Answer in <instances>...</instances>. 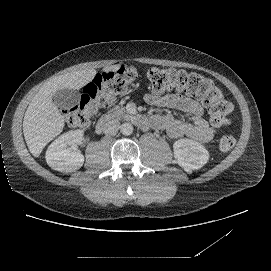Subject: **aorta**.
<instances>
[{"label": "aorta", "instance_id": "1", "mask_svg": "<svg viewBox=\"0 0 271 271\" xmlns=\"http://www.w3.org/2000/svg\"><path fill=\"white\" fill-rule=\"evenodd\" d=\"M120 132L123 135H131L133 133V125L131 123L125 122L120 126Z\"/></svg>", "mask_w": 271, "mask_h": 271}]
</instances>
